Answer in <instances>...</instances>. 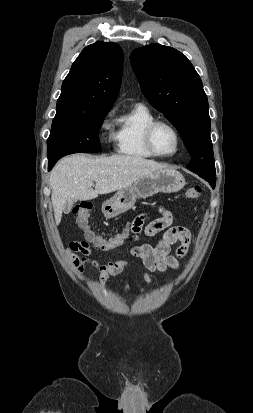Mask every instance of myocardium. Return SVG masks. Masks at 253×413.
Here are the masks:
<instances>
[{"label": "myocardium", "instance_id": "f54148a6", "mask_svg": "<svg viewBox=\"0 0 253 413\" xmlns=\"http://www.w3.org/2000/svg\"><path fill=\"white\" fill-rule=\"evenodd\" d=\"M161 125L168 127L174 133L176 137V149L171 154L159 153L154 146V141H153L154 132L156 128ZM144 143H145L147 150L153 156L160 157V158H171L180 151L182 140H181V135L178 129L171 122L166 121V120L155 119L152 122H150L144 130Z\"/></svg>", "mask_w": 253, "mask_h": 413}]
</instances>
